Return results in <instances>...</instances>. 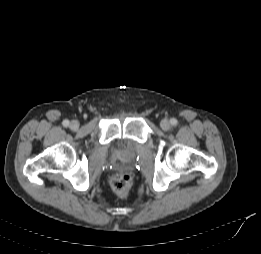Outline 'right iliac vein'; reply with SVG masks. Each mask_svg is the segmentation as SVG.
<instances>
[{
  "mask_svg": "<svg viewBox=\"0 0 261 254\" xmlns=\"http://www.w3.org/2000/svg\"><path fill=\"white\" fill-rule=\"evenodd\" d=\"M70 128H71L72 130H77V129L79 128V122L76 121V120L71 121V123H70Z\"/></svg>",
  "mask_w": 261,
  "mask_h": 254,
  "instance_id": "obj_1",
  "label": "right iliac vein"
}]
</instances>
